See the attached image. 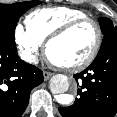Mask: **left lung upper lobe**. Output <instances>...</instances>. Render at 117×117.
Listing matches in <instances>:
<instances>
[{"label": "left lung upper lobe", "mask_w": 117, "mask_h": 117, "mask_svg": "<svg viewBox=\"0 0 117 117\" xmlns=\"http://www.w3.org/2000/svg\"><path fill=\"white\" fill-rule=\"evenodd\" d=\"M99 24L104 38L100 47L101 51L112 41L117 39V26L113 25V22L109 18H99Z\"/></svg>", "instance_id": "obj_1"}]
</instances>
